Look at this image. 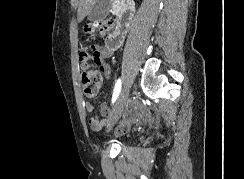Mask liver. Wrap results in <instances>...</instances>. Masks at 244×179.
<instances>
[{
  "mask_svg": "<svg viewBox=\"0 0 244 179\" xmlns=\"http://www.w3.org/2000/svg\"><path fill=\"white\" fill-rule=\"evenodd\" d=\"M95 2L96 0H79V8L77 12L78 22L84 20L85 16L92 10Z\"/></svg>",
  "mask_w": 244,
  "mask_h": 179,
  "instance_id": "obj_1",
  "label": "liver"
}]
</instances>
